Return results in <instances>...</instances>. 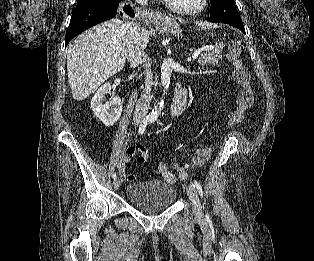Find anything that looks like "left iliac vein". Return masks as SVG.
<instances>
[{"label": "left iliac vein", "instance_id": "4c4485c4", "mask_svg": "<svg viewBox=\"0 0 314 261\" xmlns=\"http://www.w3.org/2000/svg\"><path fill=\"white\" fill-rule=\"evenodd\" d=\"M187 195H188L190 201L192 202V208H193V212L195 214V217L198 219L202 218L203 214H202L201 203H200L196 188L194 187L193 184H188Z\"/></svg>", "mask_w": 314, "mask_h": 261}]
</instances>
